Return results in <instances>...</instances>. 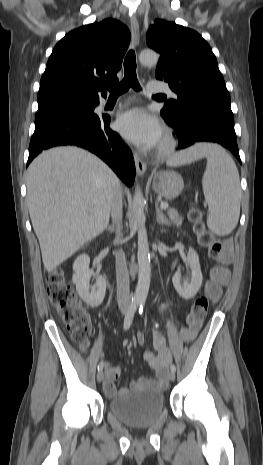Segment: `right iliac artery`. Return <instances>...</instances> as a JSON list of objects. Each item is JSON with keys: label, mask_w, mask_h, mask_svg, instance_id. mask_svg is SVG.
Here are the masks:
<instances>
[{"label": "right iliac artery", "mask_w": 263, "mask_h": 465, "mask_svg": "<svg viewBox=\"0 0 263 465\" xmlns=\"http://www.w3.org/2000/svg\"><path fill=\"white\" fill-rule=\"evenodd\" d=\"M139 303L138 302H132L127 310L125 319H124V329L128 330L130 328V325L133 321L134 314L136 312V309L138 307ZM104 367V362L101 361L98 364V371L102 370Z\"/></svg>", "instance_id": "82829eb1"}]
</instances>
